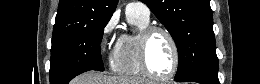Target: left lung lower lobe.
Returning a JSON list of instances; mask_svg holds the SVG:
<instances>
[{"mask_svg": "<svg viewBox=\"0 0 260 84\" xmlns=\"http://www.w3.org/2000/svg\"><path fill=\"white\" fill-rule=\"evenodd\" d=\"M218 71H202L195 73L184 80H180L178 82H197L200 84H219L218 80Z\"/></svg>", "mask_w": 260, "mask_h": 84, "instance_id": "obj_1", "label": "left lung lower lobe"}]
</instances>
